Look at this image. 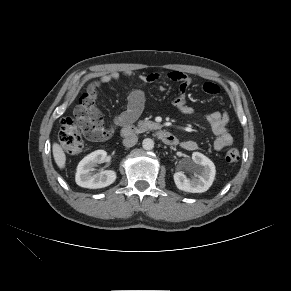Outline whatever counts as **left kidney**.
Returning a JSON list of instances; mask_svg holds the SVG:
<instances>
[{
  "label": "left kidney",
  "instance_id": "left-kidney-1",
  "mask_svg": "<svg viewBox=\"0 0 291 291\" xmlns=\"http://www.w3.org/2000/svg\"><path fill=\"white\" fill-rule=\"evenodd\" d=\"M192 160L196 177L187 178L184 172H176L173 176L174 182L179 190L185 192H205L214 181L216 174L215 165L208 157L199 152L192 154Z\"/></svg>",
  "mask_w": 291,
  "mask_h": 291
}]
</instances>
